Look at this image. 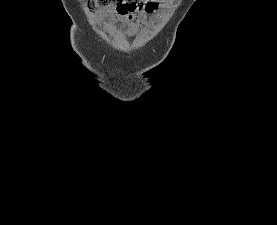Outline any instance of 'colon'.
<instances>
[{"label": "colon", "mask_w": 277, "mask_h": 225, "mask_svg": "<svg viewBox=\"0 0 277 225\" xmlns=\"http://www.w3.org/2000/svg\"><path fill=\"white\" fill-rule=\"evenodd\" d=\"M90 8H113L119 14H131L144 8L140 0H87Z\"/></svg>", "instance_id": "5ec220e1"}]
</instances>
